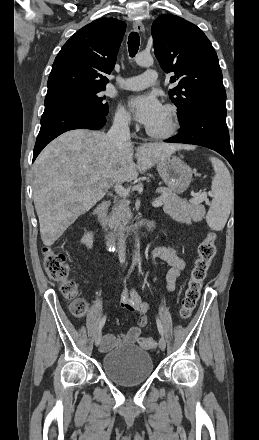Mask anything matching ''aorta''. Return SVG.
<instances>
[{"label":"aorta","instance_id":"aorta-1","mask_svg":"<svg viewBox=\"0 0 259 440\" xmlns=\"http://www.w3.org/2000/svg\"><path fill=\"white\" fill-rule=\"evenodd\" d=\"M135 61L139 66L142 67H150L153 65L154 62L153 57L150 54H145V53L137 54L135 57ZM135 242H136L135 244L136 250L134 251L133 260H138L139 239L136 238Z\"/></svg>","mask_w":259,"mask_h":440}]
</instances>
